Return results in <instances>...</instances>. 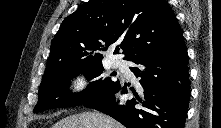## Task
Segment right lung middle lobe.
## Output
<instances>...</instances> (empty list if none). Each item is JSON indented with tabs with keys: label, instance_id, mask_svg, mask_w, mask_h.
Segmentation results:
<instances>
[{
	"label": "right lung middle lobe",
	"instance_id": "obj_1",
	"mask_svg": "<svg viewBox=\"0 0 221 128\" xmlns=\"http://www.w3.org/2000/svg\"><path fill=\"white\" fill-rule=\"evenodd\" d=\"M103 70L102 61L96 60L71 61L46 69L34 112L83 105L119 86V81H113L110 76H105L92 81L81 93L71 94L68 91L70 78L82 73L91 80L100 76Z\"/></svg>",
	"mask_w": 221,
	"mask_h": 128
}]
</instances>
